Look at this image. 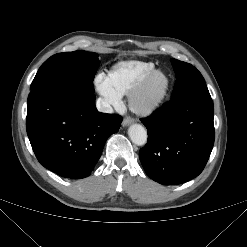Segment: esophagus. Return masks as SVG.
<instances>
[{"mask_svg": "<svg viewBox=\"0 0 247 247\" xmlns=\"http://www.w3.org/2000/svg\"><path fill=\"white\" fill-rule=\"evenodd\" d=\"M133 122H134V119H133V118L127 117V118H125V119L123 120L122 126H123V127H126V126L130 125V124L133 123Z\"/></svg>", "mask_w": 247, "mask_h": 247, "instance_id": "obj_1", "label": "esophagus"}]
</instances>
